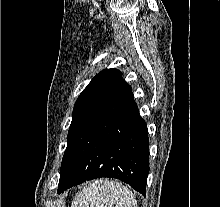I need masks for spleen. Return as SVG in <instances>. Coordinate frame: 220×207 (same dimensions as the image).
<instances>
[{
	"label": "spleen",
	"instance_id": "spleen-1",
	"mask_svg": "<svg viewBox=\"0 0 220 207\" xmlns=\"http://www.w3.org/2000/svg\"><path fill=\"white\" fill-rule=\"evenodd\" d=\"M72 207H138L132 191L115 180L100 179L84 186Z\"/></svg>",
	"mask_w": 220,
	"mask_h": 207
}]
</instances>
